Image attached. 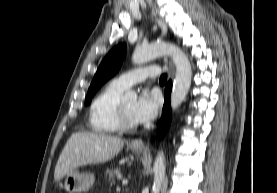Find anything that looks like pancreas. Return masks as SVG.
I'll use <instances>...</instances> for the list:
<instances>
[{
    "label": "pancreas",
    "instance_id": "pancreas-1",
    "mask_svg": "<svg viewBox=\"0 0 277 193\" xmlns=\"http://www.w3.org/2000/svg\"><path fill=\"white\" fill-rule=\"evenodd\" d=\"M105 176L114 183L116 178L119 179L121 177V170L120 168L107 169Z\"/></svg>",
    "mask_w": 277,
    "mask_h": 193
}]
</instances>
